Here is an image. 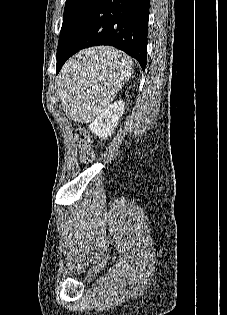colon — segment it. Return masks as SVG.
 I'll list each match as a JSON object with an SVG mask.
<instances>
[{
    "label": "colon",
    "mask_w": 227,
    "mask_h": 315,
    "mask_svg": "<svg viewBox=\"0 0 227 315\" xmlns=\"http://www.w3.org/2000/svg\"><path fill=\"white\" fill-rule=\"evenodd\" d=\"M75 141L79 148V160L83 164H90L95 159V152L92 146V137L84 128L75 130Z\"/></svg>",
    "instance_id": "1"
}]
</instances>
